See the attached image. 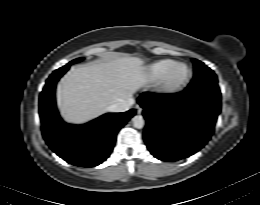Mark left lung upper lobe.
I'll use <instances>...</instances> for the list:
<instances>
[{"instance_id": "left-lung-upper-lobe-1", "label": "left lung upper lobe", "mask_w": 260, "mask_h": 205, "mask_svg": "<svg viewBox=\"0 0 260 205\" xmlns=\"http://www.w3.org/2000/svg\"><path fill=\"white\" fill-rule=\"evenodd\" d=\"M193 62L194 78L187 88L220 95L217 76L215 75V73L197 59H193Z\"/></svg>"}]
</instances>
